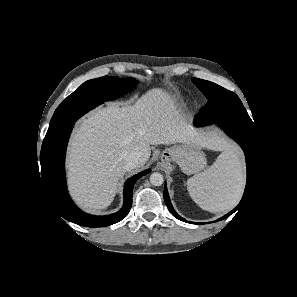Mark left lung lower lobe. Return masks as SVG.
I'll return each instance as SVG.
<instances>
[{
    "label": "left lung lower lobe",
    "mask_w": 297,
    "mask_h": 297,
    "mask_svg": "<svg viewBox=\"0 0 297 297\" xmlns=\"http://www.w3.org/2000/svg\"><path fill=\"white\" fill-rule=\"evenodd\" d=\"M194 124L196 126H202L194 121ZM219 125L223 128V130L233 139L235 140L243 149L245 157H246V164H247V183L245 187V191L243 194V197L238 204L236 208H234L231 212L223 216L222 218L218 219L217 221H220L224 218H227L234 212H236L239 208L243 206V204L248 199L251 189L254 183V172L257 170V163H258V140L256 138L255 131L249 130L247 128H244L242 126H238L232 123L223 122L219 123ZM164 200L165 203L169 209V211L172 213L174 217L177 219L188 222L187 220L183 219L181 216H179L174 208L172 207V204L169 199L167 187L165 185L164 187ZM238 213V212H237ZM192 224H204V223H194V222H188Z\"/></svg>",
    "instance_id": "1"
}]
</instances>
